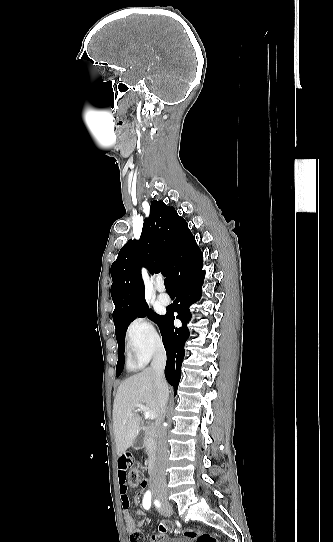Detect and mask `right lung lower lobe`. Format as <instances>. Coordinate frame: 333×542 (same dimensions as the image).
<instances>
[{
	"instance_id": "1",
	"label": "right lung lower lobe",
	"mask_w": 333,
	"mask_h": 542,
	"mask_svg": "<svg viewBox=\"0 0 333 542\" xmlns=\"http://www.w3.org/2000/svg\"><path fill=\"white\" fill-rule=\"evenodd\" d=\"M202 259L203 254L196 241L176 255L171 279L176 300L167 309L166 315L158 325L167 354L165 377L168 383L174 387L175 395L181 376L184 343L189 336L187 328L191 317L189 306L201 297V286L205 275L201 269ZM174 312L177 313L176 318L181 320L182 327H174Z\"/></svg>"
}]
</instances>
